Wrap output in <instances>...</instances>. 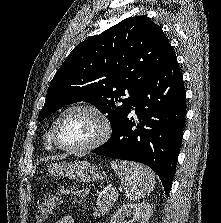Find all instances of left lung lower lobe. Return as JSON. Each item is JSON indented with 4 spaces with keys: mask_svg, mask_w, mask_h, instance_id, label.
<instances>
[{
    "mask_svg": "<svg viewBox=\"0 0 221 223\" xmlns=\"http://www.w3.org/2000/svg\"><path fill=\"white\" fill-rule=\"evenodd\" d=\"M134 107L137 121L129 117ZM185 115L183 76L170 46L162 67L136 94L117 130L106 143L91 152L148 165L169 194Z\"/></svg>",
    "mask_w": 221,
    "mask_h": 223,
    "instance_id": "left-lung-lower-lobe-1",
    "label": "left lung lower lobe"
}]
</instances>
